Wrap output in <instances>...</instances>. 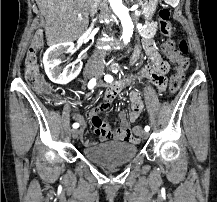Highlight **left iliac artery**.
<instances>
[{
  "mask_svg": "<svg viewBox=\"0 0 217 202\" xmlns=\"http://www.w3.org/2000/svg\"><path fill=\"white\" fill-rule=\"evenodd\" d=\"M104 80L106 82H112L113 81V77L111 75H105ZM145 131L148 132L150 130L149 126H145Z\"/></svg>",
  "mask_w": 217,
  "mask_h": 202,
  "instance_id": "44dca946",
  "label": "left iliac artery"
}]
</instances>
